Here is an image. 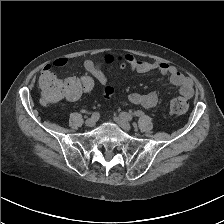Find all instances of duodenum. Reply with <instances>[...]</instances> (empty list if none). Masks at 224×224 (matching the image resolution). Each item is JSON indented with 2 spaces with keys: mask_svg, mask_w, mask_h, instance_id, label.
Segmentation results:
<instances>
[{
  "mask_svg": "<svg viewBox=\"0 0 224 224\" xmlns=\"http://www.w3.org/2000/svg\"><path fill=\"white\" fill-rule=\"evenodd\" d=\"M52 85H53V86H57V85H56V82H54Z\"/></svg>",
  "mask_w": 224,
  "mask_h": 224,
  "instance_id": "duodenum-1",
  "label": "duodenum"
}]
</instances>
